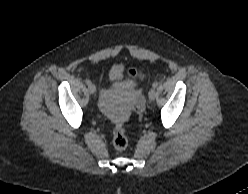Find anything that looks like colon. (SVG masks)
<instances>
[{
  "label": "colon",
  "mask_w": 248,
  "mask_h": 194,
  "mask_svg": "<svg viewBox=\"0 0 248 194\" xmlns=\"http://www.w3.org/2000/svg\"><path fill=\"white\" fill-rule=\"evenodd\" d=\"M112 142L114 148L119 152H122L127 148L128 140L122 125H118L113 129Z\"/></svg>",
  "instance_id": "obj_1"
}]
</instances>
